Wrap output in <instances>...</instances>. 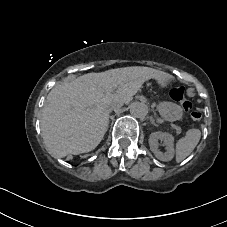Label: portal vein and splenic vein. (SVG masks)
Segmentation results:
<instances>
[{"mask_svg": "<svg viewBox=\"0 0 227 227\" xmlns=\"http://www.w3.org/2000/svg\"><path fill=\"white\" fill-rule=\"evenodd\" d=\"M162 124H165V125H168L170 126L171 124L168 123V122H165V121H162L161 122ZM174 132H176L178 135L182 132V129L181 128H178V127H175L173 124L170 126Z\"/></svg>", "mask_w": 227, "mask_h": 227, "instance_id": "18ae733b", "label": "portal vein and splenic vein"}]
</instances>
